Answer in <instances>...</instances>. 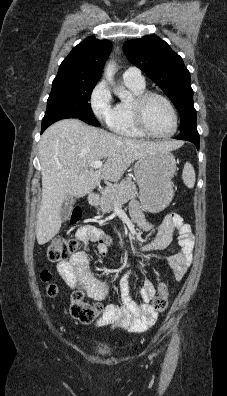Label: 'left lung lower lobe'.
I'll list each match as a JSON object with an SVG mask.
<instances>
[{"label": "left lung lower lobe", "mask_w": 227, "mask_h": 396, "mask_svg": "<svg viewBox=\"0 0 227 396\" xmlns=\"http://www.w3.org/2000/svg\"><path fill=\"white\" fill-rule=\"evenodd\" d=\"M175 139L190 141L199 150V134L197 131L196 122H192L186 127L182 128L180 134L175 137Z\"/></svg>", "instance_id": "0a47b994"}]
</instances>
